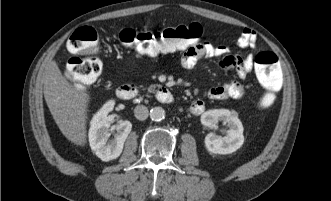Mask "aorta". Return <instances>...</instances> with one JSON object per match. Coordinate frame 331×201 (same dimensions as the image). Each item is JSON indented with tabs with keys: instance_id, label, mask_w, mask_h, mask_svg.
I'll return each instance as SVG.
<instances>
[{
	"instance_id": "aorta-1",
	"label": "aorta",
	"mask_w": 331,
	"mask_h": 201,
	"mask_svg": "<svg viewBox=\"0 0 331 201\" xmlns=\"http://www.w3.org/2000/svg\"><path fill=\"white\" fill-rule=\"evenodd\" d=\"M166 113L162 107H154L150 111V118L152 121L160 122L165 119Z\"/></svg>"
}]
</instances>
